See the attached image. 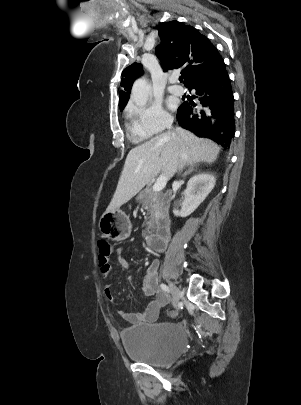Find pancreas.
Listing matches in <instances>:
<instances>
[{"label": "pancreas", "instance_id": "pancreas-1", "mask_svg": "<svg viewBox=\"0 0 301 405\" xmlns=\"http://www.w3.org/2000/svg\"><path fill=\"white\" fill-rule=\"evenodd\" d=\"M138 200L148 212L147 214L149 217H146L143 226L145 229L143 230L142 234L146 236L147 234L151 233L154 229L155 222L158 219L159 211H160V203L158 199V195L152 191V189L147 186L144 190L140 192L138 195Z\"/></svg>", "mask_w": 301, "mask_h": 405}]
</instances>
